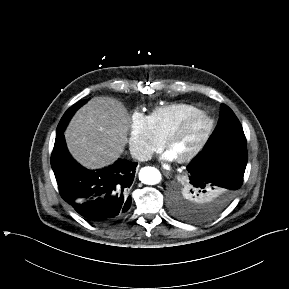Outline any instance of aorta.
Here are the masks:
<instances>
[{
    "instance_id": "762f6f07",
    "label": "aorta",
    "mask_w": 289,
    "mask_h": 289,
    "mask_svg": "<svg viewBox=\"0 0 289 289\" xmlns=\"http://www.w3.org/2000/svg\"><path fill=\"white\" fill-rule=\"evenodd\" d=\"M139 180L147 185H155L161 181V173L154 167H144L139 172Z\"/></svg>"
}]
</instances>
